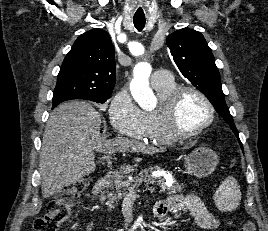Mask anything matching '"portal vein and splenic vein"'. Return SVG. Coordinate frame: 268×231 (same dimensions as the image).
<instances>
[{
	"label": "portal vein and splenic vein",
	"instance_id": "1",
	"mask_svg": "<svg viewBox=\"0 0 268 231\" xmlns=\"http://www.w3.org/2000/svg\"><path fill=\"white\" fill-rule=\"evenodd\" d=\"M149 190H150L151 192H153V191H154V189H152V188H150ZM132 191H133V190H132Z\"/></svg>",
	"mask_w": 268,
	"mask_h": 231
}]
</instances>
